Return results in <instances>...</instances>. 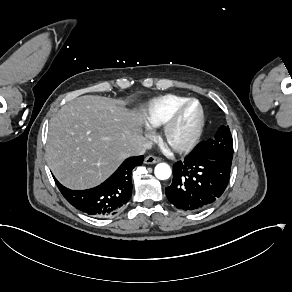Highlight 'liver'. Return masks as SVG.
<instances>
[{"label":"liver","mask_w":292,"mask_h":292,"mask_svg":"<svg viewBox=\"0 0 292 292\" xmlns=\"http://www.w3.org/2000/svg\"><path fill=\"white\" fill-rule=\"evenodd\" d=\"M144 142L140 115L100 96H83L50 120L46 160L67 187L104 181Z\"/></svg>","instance_id":"liver-1"}]
</instances>
